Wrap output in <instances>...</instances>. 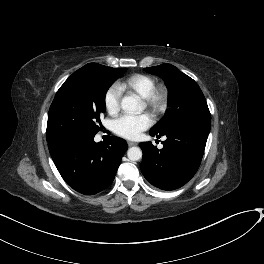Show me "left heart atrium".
<instances>
[{"label":"left heart atrium","instance_id":"1","mask_svg":"<svg viewBox=\"0 0 264 264\" xmlns=\"http://www.w3.org/2000/svg\"><path fill=\"white\" fill-rule=\"evenodd\" d=\"M152 125V119L148 114L122 115L113 123L114 132L127 139H136L143 131Z\"/></svg>","mask_w":264,"mask_h":264}]
</instances>
